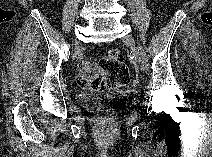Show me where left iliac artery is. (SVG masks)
<instances>
[{
  "instance_id": "44dca946",
  "label": "left iliac artery",
  "mask_w": 212,
  "mask_h": 157,
  "mask_svg": "<svg viewBox=\"0 0 212 157\" xmlns=\"http://www.w3.org/2000/svg\"><path fill=\"white\" fill-rule=\"evenodd\" d=\"M138 51L141 55V58H142V63H143V66H144V69L147 71H149V62H148V56L144 50V48L141 46V45H138Z\"/></svg>"
}]
</instances>
